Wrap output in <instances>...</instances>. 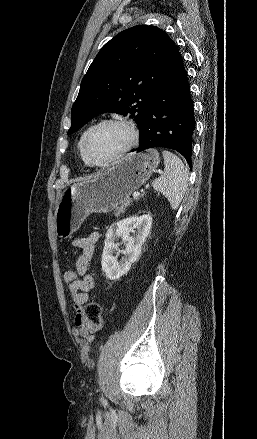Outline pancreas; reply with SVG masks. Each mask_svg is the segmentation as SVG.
Listing matches in <instances>:
<instances>
[{
    "instance_id": "pancreas-1",
    "label": "pancreas",
    "mask_w": 257,
    "mask_h": 439,
    "mask_svg": "<svg viewBox=\"0 0 257 439\" xmlns=\"http://www.w3.org/2000/svg\"><path fill=\"white\" fill-rule=\"evenodd\" d=\"M134 200H138V198H135ZM132 203H133V201L131 199L125 200L124 202H122V204L119 207H117L114 210V215L116 217L120 216L121 214H123L125 212L126 208L129 207Z\"/></svg>"
}]
</instances>
